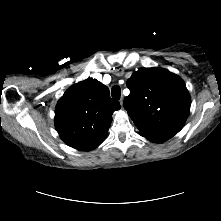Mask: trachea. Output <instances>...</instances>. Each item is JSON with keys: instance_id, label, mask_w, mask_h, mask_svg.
<instances>
[{"instance_id": "1", "label": "trachea", "mask_w": 221, "mask_h": 221, "mask_svg": "<svg viewBox=\"0 0 221 221\" xmlns=\"http://www.w3.org/2000/svg\"><path fill=\"white\" fill-rule=\"evenodd\" d=\"M111 95L115 99H120L121 90L119 86H114L111 90Z\"/></svg>"}]
</instances>
